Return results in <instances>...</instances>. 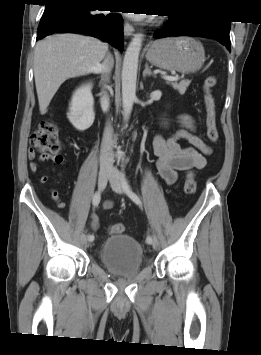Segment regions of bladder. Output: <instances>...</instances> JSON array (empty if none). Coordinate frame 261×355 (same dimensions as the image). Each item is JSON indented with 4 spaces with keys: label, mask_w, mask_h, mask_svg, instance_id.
Listing matches in <instances>:
<instances>
[{
    "label": "bladder",
    "mask_w": 261,
    "mask_h": 355,
    "mask_svg": "<svg viewBox=\"0 0 261 355\" xmlns=\"http://www.w3.org/2000/svg\"><path fill=\"white\" fill-rule=\"evenodd\" d=\"M99 256L105 268L119 278H134L143 266V248L135 238L128 235L107 237Z\"/></svg>",
    "instance_id": "31cf9c89"
}]
</instances>
